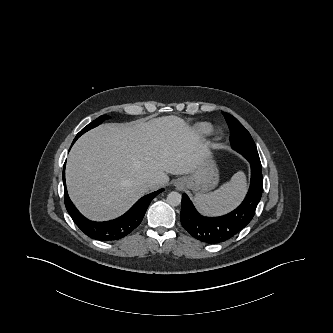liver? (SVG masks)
I'll use <instances>...</instances> for the list:
<instances>
[{"instance_id":"liver-1","label":"liver","mask_w":333,"mask_h":333,"mask_svg":"<svg viewBox=\"0 0 333 333\" xmlns=\"http://www.w3.org/2000/svg\"><path fill=\"white\" fill-rule=\"evenodd\" d=\"M208 153V143L177 116L104 124L72 147L66 165L68 193L87 218L109 220L167 184L168 173L194 172ZM149 179L156 183L148 184Z\"/></svg>"}]
</instances>
